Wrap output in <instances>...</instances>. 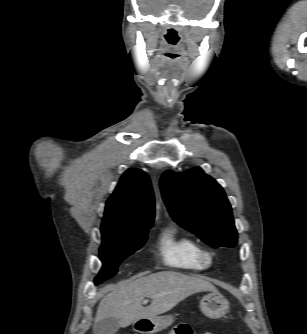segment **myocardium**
I'll return each mask as SVG.
<instances>
[{
  "instance_id": "obj_1",
  "label": "myocardium",
  "mask_w": 307,
  "mask_h": 334,
  "mask_svg": "<svg viewBox=\"0 0 307 334\" xmlns=\"http://www.w3.org/2000/svg\"><path fill=\"white\" fill-rule=\"evenodd\" d=\"M198 257L204 267H209L213 264V254L208 249L200 247L198 250Z\"/></svg>"
}]
</instances>
